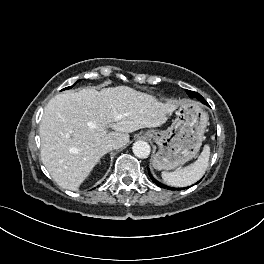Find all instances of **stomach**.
I'll use <instances>...</instances> for the list:
<instances>
[{
	"label": "stomach",
	"mask_w": 264,
	"mask_h": 264,
	"mask_svg": "<svg viewBox=\"0 0 264 264\" xmlns=\"http://www.w3.org/2000/svg\"><path fill=\"white\" fill-rule=\"evenodd\" d=\"M208 125L206 112L194 101L183 102L176 118L166 131L148 130L145 133L158 145L153 157L157 170H172L193 159L202 144Z\"/></svg>",
	"instance_id": "stomach-1"
}]
</instances>
